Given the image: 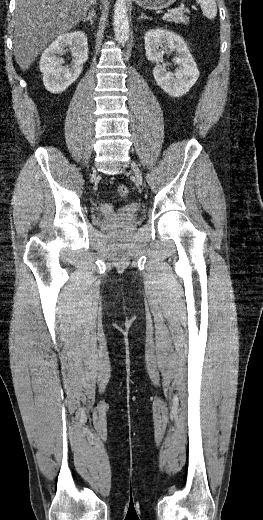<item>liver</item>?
Listing matches in <instances>:
<instances>
[{"label": "liver", "instance_id": "obj_1", "mask_svg": "<svg viewBox=\"0 0 263 520\" xmlns=\"http://www.w3.org/2000/svg\"><path fill=\"white\" fill-rule=\"evenodd\" d=\"M107 1V0H106ZM96 0H16L13 16L14 55L25 71L54 38L86 17Z\"/></svg>", "mask_w": 263, "mask_h": 520}]
</instances>
